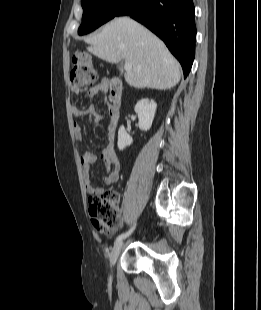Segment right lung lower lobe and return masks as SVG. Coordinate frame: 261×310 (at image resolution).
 <instances>
[{"label": "right lung lower lobe", "instance_id": "98d812e1", "mask_svg": "<svg viewBox=\"0 0 261 310\" xmlns=\"http://www.w3.org/2000/svg\"><path fill=\"white\" fill-rule=\"evenodd\" d=\"M194 13L193 0H128L116 16L129 15L160 37L186 77L195 56Z\"/></svg>", "mask_w": 261, "mask_h": 310}]
</instances>
